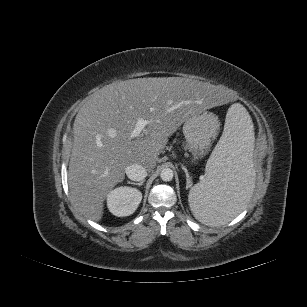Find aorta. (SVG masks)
I'll return each mask as SVG.
<instances>
[{
  "instance_id": "762f6f07",
  "label": "aorta",
  "mask_w": 307,
  "mask_h": 307,
  "mask_svg": "<svg viewBox=\"0 0 307 307\" xmlns=\"http://www.w3.org/2000/svg\"><path fill=\"white\" fill-rule=\"evenodd\" d=\"M174 173L173 170L170 168H164L161 173L160 177L163 181H171L173 179Z\"/></svg>"
}]
</instances>
